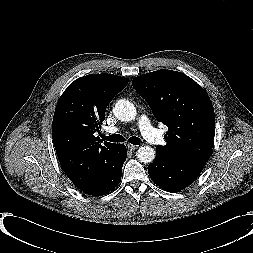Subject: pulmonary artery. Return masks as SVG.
<instances>
[{
	"instance_id": "e3ab8cb5",
	"label": "pulmonary artery",
	"mask_w": 253,
	"mask_h": 253,
	"mask_svg": "<svg viewBox=\"0 0 253 253\" xmlns=\"http://www.w3.org/2000/svg\"><path fill=\"white\" fill-rule=\"evenodd\" d=\"M138 125L141 130L143 137L154 145H164L166 139L164 135L157 131L150 125L149 119L146 115H141L138 119ZM120 131V128L117 126H109L105 129V134H115Z\"/></svg>"
}]
</instances>
